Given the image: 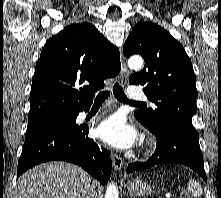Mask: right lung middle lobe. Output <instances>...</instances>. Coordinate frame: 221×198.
<instances>
[{
    "label": "right lung middle lobe",
    "instance_id": "obj_1",
    "mask_svg": "<svg viewBox=\"0 0 221 198\" xmlns=\"http://www.w3.org/2000/svg\"><path fill=\"white\" fill-rule=\"evenodd\" d=\"M77 114L78 113L59 114L44 119H40L34 122H29L25 134V139L48 129L57 128V127L67 128L74 126L76 125Z\"/></svg>",
    "mask_w": 221,
    "mask_h": 198
}]
</instances>
